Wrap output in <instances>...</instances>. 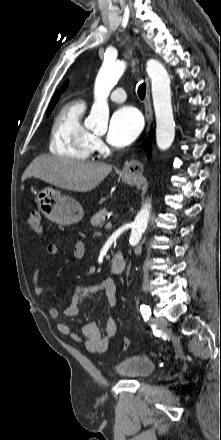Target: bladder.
<instances>
[{"label":"bladder","mask_w":221,"mask_h":440,"mask_svg":"<svg viewBox=\"0 0 221 440\" xmlns=\"http://www.w3.org/2000/svg\"><path fill=\"white\" fill-rule=\"evenodd\" d=\"M155 364L143 355H131L120 360L114 367V373L118 376L142 380L153 373Z\"/></svg>","instance_id":"31cf9c89"}]
</instances>
